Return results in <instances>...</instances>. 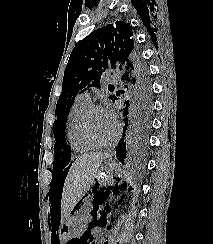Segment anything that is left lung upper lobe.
I'll return each mask as SVG.
<instances>
[{"label":"left lung upper lobe","mask_w":213,"mask_h":244,"mask_svg":"<svg viewBox=\"0 0 213 244\" xmlns=\"http://www.w3.org/2000/svg\"><path fill=\"white\" fill-rule=\"evenodd\" d=\"M109 70L122 72L129 98L125 104L151 113L150 78L135 46L130 24L118 21L106 25L91 32L71 52L64 71L62 93L56 104L53 125L56 150L64 153L69 149L65 141V126L75 96L86 87L100 88L102 76ZM109 98L116 100L115 96Z\"/></svg>","instance_id":"obj_1"}]
</instances>
